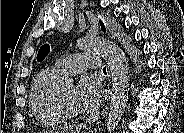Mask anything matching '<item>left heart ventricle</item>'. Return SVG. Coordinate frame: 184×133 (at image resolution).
I'll use <instances>...</instances> for the list:
<instances>
[{"instance_id": "obj_1", "label": "left heart ventricle", "mask_w": 184, "mask_h": 133, "mask_svg": "<svg viewBox=\"0 0 184 133\" xmlns=\"http://www.w3.org/2000/svg\"><path fill=\"white\" fill-rule=\"evenodd\" d=\"M74 86H62V96L66 107L75 115H80L81 111L76 107L74 101Z\"/></svg>"}]
</instances>
